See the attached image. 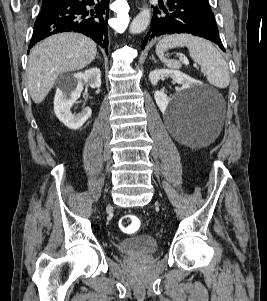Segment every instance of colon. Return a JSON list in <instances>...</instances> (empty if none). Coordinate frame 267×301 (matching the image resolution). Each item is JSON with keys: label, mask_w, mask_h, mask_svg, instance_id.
Here are the masks:
<instances>
[{"label": "colon", "mask_w": 267, "mask_h": 301, "mask_svg": "<svg viewBox=\"0 0 267 301\" xmlns=\"http://www.w3.org/2000/svg\"><path fill=\"white\" fill-rule=\"evenodd\" d=\"M141 226V219L134 214L124 215L119 221V227L121 231L127 234H133L138 232Z\"/></svg>", "instance_id": "obj_1"}]
</instances>
